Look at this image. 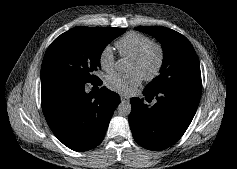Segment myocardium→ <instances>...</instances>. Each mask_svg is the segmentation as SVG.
I'll use <instances>...</instances> for the list:
<instances>
[{"label": "myocardium", "instance_id": "obj_1", "mask_svg": "<svg viewBox=\"0 0 237 169\" xmlns=\"http://www.w3.org/2000/svg\"><path fill=\"white\" fill-rule=\"evenodd\" d=\"M151 52L156 53L157 61L154 67L151 69V71L142 76L143 79L146 81L154 79L159 74L165 57L163 47L159 43L152 42L148 46H146L142 51L132 56L133 60L137 62H144Z\"/></svg>", "mask_w": 237, "mask_h": 169}]
</instances>
